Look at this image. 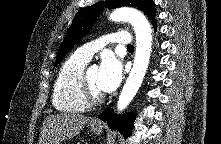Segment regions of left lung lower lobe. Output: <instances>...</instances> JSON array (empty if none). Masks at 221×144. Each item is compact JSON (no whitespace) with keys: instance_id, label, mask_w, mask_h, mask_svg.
I'll return each instance as SVG.
<instances>
[{"instance_id":"1","label":"left lung lower lobe","mask_w":221,"mask_h":144,"mask_svg":"<svg viewBox=\"0 0 221 144\" xmlns=\"http://www.w3.org/2000/svg\"><path fill=\"white\" fill-rule=\"evenodd\" d=\"M154 23V28H156V21ZM99 118L103 121H107L111 128L119 130L125 137H128L132 131L134 124V114L128 113L122 116L114 114L112 108L107 109L100 114Z\"/></svg>"}]
</instances>
